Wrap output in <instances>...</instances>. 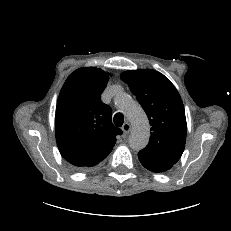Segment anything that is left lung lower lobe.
Here are the masks:
<instances>
[{"mask_svg":"<svg viewBox=\"0 0 231 231\" xmlns=\"http://www.w3.org/2000/svg\"><path fill=\"white\" fill-rule=\"evenodd\" d=\"M141 164L152 172H164L169 170L173 165L150 161L138 154Z\"/></svg>","mask_w":231,"mask_h":231,"instance_id":"1","label":"left lung lower lobe"}]
</instances>
